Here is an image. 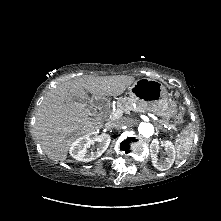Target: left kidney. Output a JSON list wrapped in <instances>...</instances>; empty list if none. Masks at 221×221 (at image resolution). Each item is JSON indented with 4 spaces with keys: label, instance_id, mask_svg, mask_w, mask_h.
Masks as SVG:
<instances>
[{
    "label": "left kidney",
    "instance_id": "1",
    "mask_svg": "<svg viewBox=\"0 0 221 221\" xmlns=\"http://www.w3.org/2000/svg\"><path fill=\"white\" fill-rule=\"evenodd\" d=\"M159 145L165 147V153H166L165 160L158 161L157 150ZM150 152H151L150 155L153 166L160 171H165L170 169V167L173 165L175 161L176 151L171 141L168 140L159 141L158 139L153 140L150 145Z\"/></svg>",
    "mask_w": 221,
    "mask_h": 221
}]
</instances>
